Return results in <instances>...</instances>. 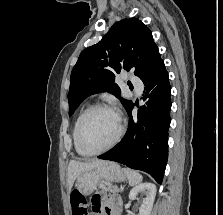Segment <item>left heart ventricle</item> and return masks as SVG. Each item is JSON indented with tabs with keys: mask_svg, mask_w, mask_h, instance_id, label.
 I'll list each match as a JSON object with an SVG mask.
<instances>
[{
	"mask_svg": "<svg viewBox=\"0 0 223 215\" xmlns=\"http://www.w3.org/2000/svg\"><path fill=\"white\" fill-rule=\"evenodd\" d=\"M119 122L115 113L99 110L87 121L83 131L86 150L97 151L108 146L118 133Z\"/></svg>",
	"mask_w": 223,
	"mask_h": 215,
	"instance_id": "obj_1",
	"label": "left heart ventricle"
}]
</instances>
